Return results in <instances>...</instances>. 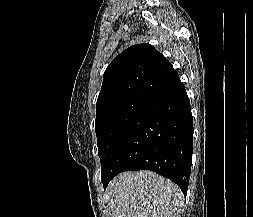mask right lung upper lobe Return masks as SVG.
Wrapping results in <instances>:
<instances>
[{"label":"right lung upper lobe","mask_w":253,"mask_h":217,"mask_svg":"<svg viewBox=\"0 0 253 217\" xmlns=\"http://www.w3.org/2000/svg\"><path fill=\"white\" fill-rule=\"evenodd\" d=\"M179 79L170 62L149 44L120 53L104 72L96 109L125 99L152 100Z\"/></svg>","instance_id":"cb5924a9"}]
</instances>
